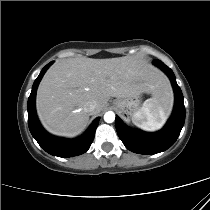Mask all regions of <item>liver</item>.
<instances>
[{"label":"liver","mask_w":210,"mask_h":210,"mask_svg":"<svg viewBox=\"0 0 210 210\" xmlns=\"http://www.w3.org/2000/svg\"><path fill=\"white\" fill-rule=\"evenodd\" d=\"M142 93L172 100L166 76L142 58H70L46 72L37 90L36 109L50 133L74 136L86 127L90 115L103 111L110 97ZM91 101L97 103L92 113L88 111Z\"/></svg>","instance_id":"1"}]
</instances>
